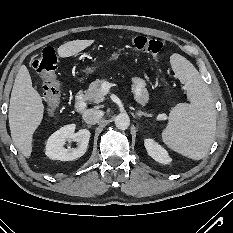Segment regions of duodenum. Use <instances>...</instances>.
<instances>
[{
	"label": "duodenum",
	"mask_w": 233,
	"mask_h": 233,
	"mask_svg": "<svg viewBox=\"0 0 233 233\" xmlns=\"http://www.w3.org/2000/svg\"><path fill=\"white\" fill-rule=\"evenodd\" d=\"M87 104L84 96L83 88H80L75 96V109L77 112L81 113L86 110Z\"/></svg>",
	"instance_id": "410a0bca"
}]
</instances>
